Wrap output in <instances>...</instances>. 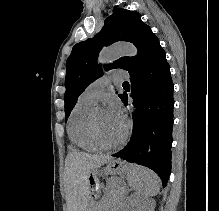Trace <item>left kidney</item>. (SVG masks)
Returning a JSON list of instances; mask_svg holds the SVG:
<instances>
[{"instance_id":"left-kidney-1","label":"left kidney","mask_w":219,"mask_h":211,"mask_svg":"<svg viewBox=\"0 0 219 211\" xmlns=\"http://www.w3.org/2000/svg\"><path fill=\"white\" fill-rule=\"evenodd\" d=\"M134 199V197H132ZM140 211H152V207H146V209H143V207H140Z\"/></svg>"}]
</instances>
